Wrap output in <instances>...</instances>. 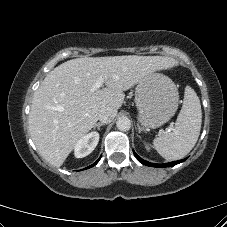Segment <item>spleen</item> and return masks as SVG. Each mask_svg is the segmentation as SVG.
Wrapping results in <instances>:
<instances>
[{
    "label": "spleen",
    "instance_id": "obj_1",
    "mask_svg": "<svg viewBox=\"0 0 227 227\" xmlns=\"http://www.w3.org/2000/svg\"><path fill=\"white\" fill-rule=\"evenodd\" d=\"M202 123L200 100L196 92L186 86L181 111L174 129L153 140L157 152L166 160H178L186 156L195 146Z\"/></svg>",
    "mask_w": 227,
    "mask_h": 227
}]
</instances>
